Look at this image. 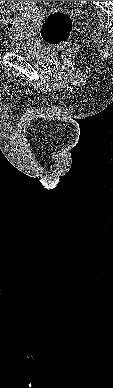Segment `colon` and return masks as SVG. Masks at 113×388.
Listing matches in <instances>:
<instances>
[{"mask_svg": "<svg viewBox=\"0 0 113 388\" xmlns=\"http://www.w3.org/2000/svg\"><path fill=\"white\" fill-rule=\"evenodd\" d=\"M19 4L27 6L29 1L19 2ZM0 24L9 29L14 28V21L3 9H0ZM72 28L73 23L69 12L60 9L53 10L43 21L41 36L48 44L57 48H62L67 44Z\"/></svg>", "mask_w": 113, "mask_h": 388, "instance_id": "obj_1", "label": "colon"}]
</instances>
